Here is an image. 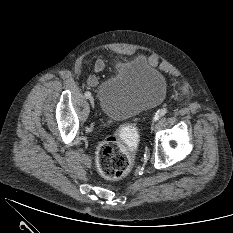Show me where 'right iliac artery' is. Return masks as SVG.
I'll use <instances>...</instances> for the list:
<instances>
[{"label":"right iliac artery","instance_id":"right-iliac-artery-1","mask_svg":"<svg viewBox=\"0 0 233 233\" xmlns=\"http://www.w3.org/2000/svg\"><path fill=\"white\" fill-rule=\"evenodd\" d=\"M85 97L86 98H90L91 97V93L89 91L85 92Z\"/></svg>","mask_w":233,"mask_h":233}]
</instances>
